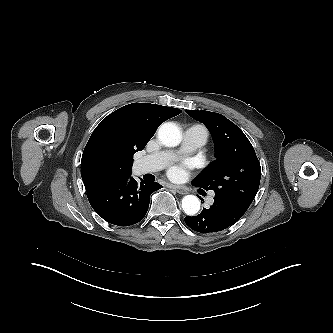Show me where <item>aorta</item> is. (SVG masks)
<instances>
[{
  "instance_id": "1",
  "label": "aorta",
  "mask_w": 333,
  "mask_h": 333,
  "mask_svg": "<svg viewBox=\"0 0 333 333\" xmlns=\"http://www.w3.org/2000/svg\"><path fill=\"white\" fill-rule=\"evenodd\" d=\"M158 137L160 141L168 147H175L181 142L180 129L173 122L162 124L158 130ZM200 205L201 202L199 198L194 195H186L182 199V209L189 216H193L198 213Z\"/></svg>"
}]
</instances>
